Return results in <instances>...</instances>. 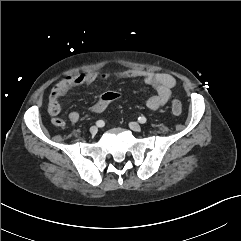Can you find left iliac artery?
<instances>
[{
	"mask_svg": "<svg viewBox=\"0 0 241 241\" xmlns=\"http://www.w3.org/2000/svg\"><path fill=\"white\" fill-rule=\"evenodd\" d=\"M138 121H139L141 124H144V123H146L147 119H146L144 116H140V117L138 118Z\"/></svg>",
	"mask_w": 241,
	"mask_h": 241,
	"instance_id": "1",
	"label": "left iliac artery"
}]
</instances>
